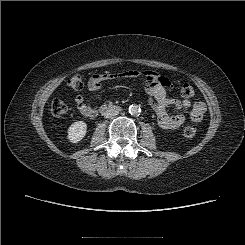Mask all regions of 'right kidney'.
Segmentation results:
<instances>
[{"label":"right kidney","instance_id":"ca27d5eb","mask_svg":"<svg viewBox=\"0 0 245 245\" xmlns=\"http://www.w3.org/2000/svg\"><path fill=\"white\" fill-rule=\"evenodd\" d=\"M87 132V124L84 121H77L68 128L67 138L72 143L81 141Z\"/></svg>","mask_w":245,"mask_h":245}]
</instances>
